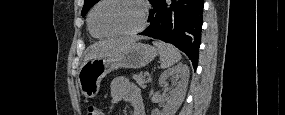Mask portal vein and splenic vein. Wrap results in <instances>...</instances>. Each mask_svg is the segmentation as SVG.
<instances>
[{
	"mask_svg": "<svg viewBox=\"0 0 285 115\" xmlns=\"http://www.w3.org/2000/svg\"><path fill=\"white\" fill-rule=\"evenodd\" d=\"M144 76H149V72H148V71H145V72H144Z\"/></svg>",
	"mask_w": 285,
	"mask_h": 115,
	"instance_id": "portal-vein-and-splenic-vein-1",
	"label": "portal vein and splenic vein"
}]
</instances>
